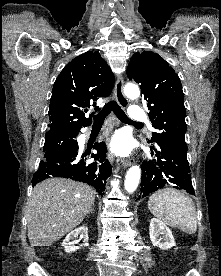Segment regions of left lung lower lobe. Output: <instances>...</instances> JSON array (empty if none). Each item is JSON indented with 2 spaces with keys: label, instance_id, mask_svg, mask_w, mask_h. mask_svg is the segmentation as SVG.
Returning a JSON list of instances; mask_svg holds the SVG:
<instances>
[{
  "label": "left lung lower lobe",
  "instance_id": "obj_1",
  "mask_svg": "<svg viewBox=\"0 0 221 276\" xmlns=\"http://www.w3.org/2000/svg\"><path fill=\"white\" fill-rule=\"evenodd\" d=\"M156 159L142 163L141 197L165 186L184 189L194 194L191 182L190 167L187 161V149L180 148L164 141L156 142ZM153 155V153H152Z\"/></svg>",
  "mask_w": 221,
  "mask_h": 276
}]
</instances>
